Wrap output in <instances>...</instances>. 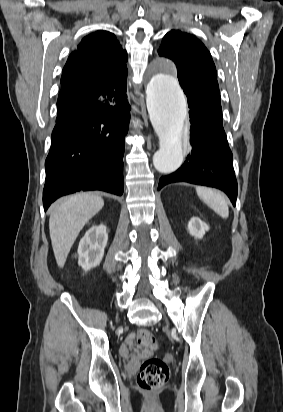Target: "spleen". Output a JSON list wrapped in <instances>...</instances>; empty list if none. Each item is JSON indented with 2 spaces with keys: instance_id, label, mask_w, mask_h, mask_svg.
<instances>
[{
  "instance_id": "3e777b00",
  "label": "spleen",
  "mask_w": 283,
  "mask_h": 412,
  "mask_svg": "<svg viewBox=\"0 0 283 412\" xmlns=\"http://www.w3.org/2000/svg\"><path fill=\"white\" fill-rule=\"evenodd\" d=\"M196 192L199 198L219 216L224 219L228 218V203L219 191L206 187H196Z\"/></svg>"
}]
</instances>
